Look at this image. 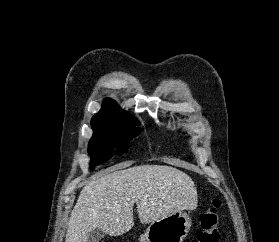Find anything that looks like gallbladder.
<instances>
[{"label":"gallbladder","mask_w":279,"mask_h":242,"mask_svg":"<svg viewBox=\"0 0 279 242\" xmlns=\"http://www.w3.org/2000/svg\"><path fill=\"white\" fill-rule=\"evenodd\" d=\"M105 233L100 229H94L89 233L88 242H100L103 239Z\"/></svg>","instance_id":"gallbladder-1"}]
</instances>
